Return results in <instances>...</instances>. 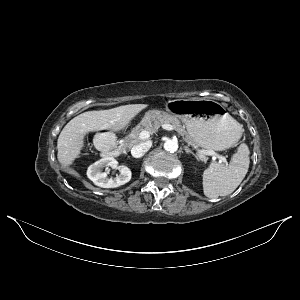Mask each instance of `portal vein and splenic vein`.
<instances>
[{
    "instance_id": "obj_1",
    "label": "portal vein and splenic vein",
    "mask_w": 300,
    "mask_h": 300,
    "mask_svg": "<svg viewBox=\"0 0 300 300\" xmlns=\"http://www.w3.org/2000/svg\"><path fill=\"white\" fill-rule=\"evenodd\" d=\"M161 126H162L163 129L168 130V131L174 130V128L171 124H162ZM149 137H150V133L147 130H143L139 135V138L141 140H147V139H149ZM198 154L199 155H204V156L205 155L213 156V158L219 159L220 162L225 161V158L222 155L214 152L213 150H198Z\"/></svg>"
}]
</instances>
